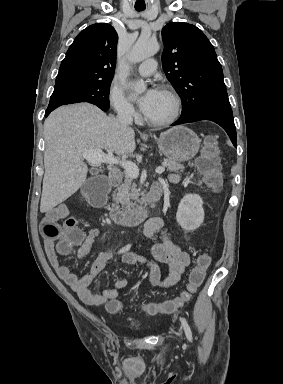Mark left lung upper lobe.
<instances>
[{"mask_svg":"<svg viewBox=\"0 0 283 384\" xmlns=\"http://www.w3.org/2000/svg\"><path fill=\"white\" fill-rule=\"evenodd\" d=\"M163 70L182 99L180 118L213 108H229L223 71L214 47L196 26L171 22L162 30Z\"/></svg>","mask_w":283,"mask_h":384,"instance_id":"obj_1","label":"left lung upper lobe"}]
</instances>
